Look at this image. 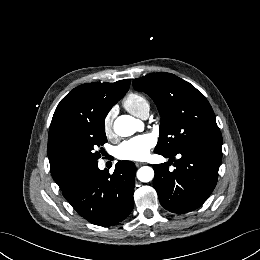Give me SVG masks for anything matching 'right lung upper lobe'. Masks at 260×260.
<instances>
[{"mask_svg":"<svg viewBox=\"0 0 260 260\" xmlns=\"http://www.w3.org/2000/svg\"><path fill=\"white\" fill-rule=\"evenodd\" d=\"M130 79L89 83L74 88L57 106L49 128L47 154L53 179L62 189L78 173L71 149L80 128L105 119L128 91Z\"/></svg>","mask_w":260,"mask_h":260,"instance_id":"1","label":"right lung upper lobe"}]
</instances>
